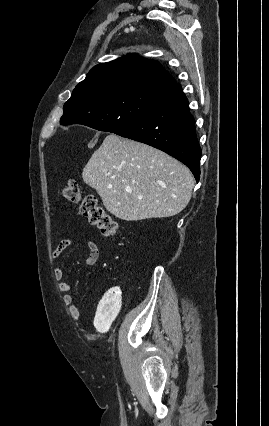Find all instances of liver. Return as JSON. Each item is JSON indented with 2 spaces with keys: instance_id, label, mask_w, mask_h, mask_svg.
Listing matches in <instances>:
<instances>
[{
  "instance_id": "liver-1",
  "label": "liver",
  "mask_w": 269,
  "mask_h": 426,
  "mask_svg": "<svg viewBox=\"0 0 269 426\" xmlns=\"http://www.w3.org/2000/svg\"><path fill=\"white\" fill-rule=\"evenodd\" d=\"M104 207L126 221L171 217L189 203L190 170L147 144L109 134L82 171Z\"/></svg>"
}]
</instances>
